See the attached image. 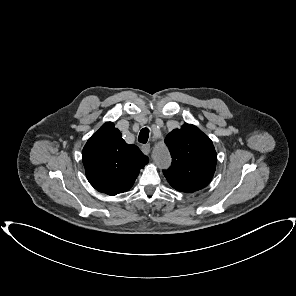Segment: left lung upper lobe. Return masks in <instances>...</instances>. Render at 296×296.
I'll return each mask as SVG.
<instances>
[{
	"label": "left lung upper lobe",
	"mask_w": 296,
	"mask_h": 296,
	"mask_svg": "<svg viewBox=\"0 0 296 296\" xmlns=\"http://www.w3.org/2000/svg\"><path fill=\"white\" fill-rule=\"evenodd\" d=\"M172 164L164 170L169 184L179 192L192 193L211 181L217 154L210 138L192 124L185 123L165 138Z\"/></svg>",
	"instance_id": "left-lung-upper-lobe-1"
}]
</instances>
